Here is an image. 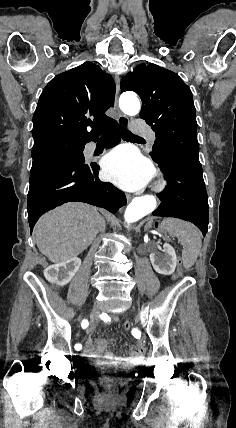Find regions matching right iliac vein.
I'll use <instances>...</instances> for the list:
<instances>
[{"label":"right iliac vein","mask_w":236,"mask_h":428,"mask_svg":"<svg viewBox=\"0 0 236 428\" xmlns=\"http://www.w3.org/2000/svg\"><path fill=\"white\" fill-rule=\"evenodd\" d=\"M90 317H92L91 319V326L89 327V329L87 330L89 333L92 331V329L96 326V316H95V312H90Z\"/></svg>","instance_id":"right-iliac-vein-1"}]
</instances>
